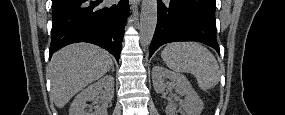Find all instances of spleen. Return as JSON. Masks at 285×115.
<instances>
[{"label": "spleen", "instance_id": "1", "mask_svg": "<svg viewBox=\"0 0 285 115\" xmlns=\"http://www.w3.org/2000/svg\"><path fill=\"white\" fill-rule=\"evenodd\" d=\"M161 57L172 71L191 73L202 90H209L220 81L221 72L215 56L197 42L169 43Z\"/></svg>", "mask_w": 285, "mask_h": 115}]
</instances>
